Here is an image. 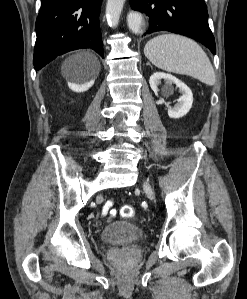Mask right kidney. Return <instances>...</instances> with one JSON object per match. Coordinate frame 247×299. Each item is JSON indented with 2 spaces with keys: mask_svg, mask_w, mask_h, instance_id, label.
I'll use <instances>...</instances> for the list:
<instances>
[{
  "mask_svg": "<svg viewBox=\"0 0 247 299\" xmlns=\"http://www.w3.org/2000/svg\"><path fill=\"white\" fill-rule=\"evenodd\" d=\"M94 84V80L89 81L84 84H68L70 89L75 92H85Z\"/></svg>",
  "mask_w": 247,
  "mask_h": 299,
  "instance_id": "right-kidney-1",
  "label": "right kidney"
}]
</instances>
